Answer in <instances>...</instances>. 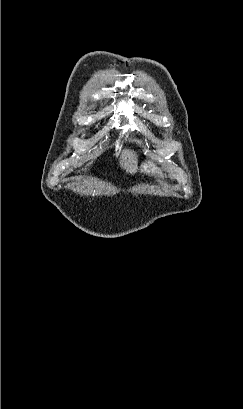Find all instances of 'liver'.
<instances>
[{"mask_svg": "<svg viewBox=\"0 0 243 409\" xmlns=\"http://www.w3.org/2000/svg\"><path fill=\"white\" fill-rule=\"evenodd\" d=\"M137 155L133 151L125 150L120 156V166L130 174L137 172Z\"/></svg>", "mask_w": 243, "mask_h": 409, "instance_id": "1", "label": "liver"}]
</instances>
